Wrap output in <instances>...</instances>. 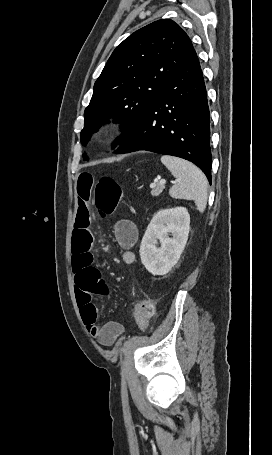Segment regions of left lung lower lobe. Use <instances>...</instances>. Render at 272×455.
<instances>
[{"label":"left lung lower lobe","mask_w":272,"mask_h":455,"mask_svg":"<svg viewBox=\"0 0 272 455\" xmlns=\"http://www.w3.org/2000/svg\"><path fill=\"white\" fill-rule=\"evenodd\" d=\"M138 150L189 160L211 183L210 116L198 57L168 81L115 153Z\"/></svg>","instance_id":"1"}]
</instances>
